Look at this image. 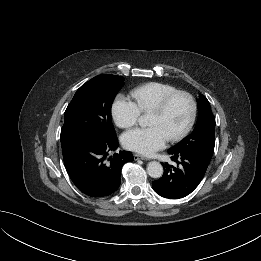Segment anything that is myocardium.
I'll return each instance as SVG.
<instances>
[{
  "label": "myocardium",
  "instance_id": "1",
  "mask_svg": "<svg viewBox=\"0 0 261 261\" xmlns=\"http://www.w3.org/2000/svg\"><path fill=\"white\" fill-rule=\"evenodd\" d=\"M179 97H184L188 100V102L190 104V114H189L188 121H187L186 125L184 126V128L180 132L170 136L169 137L170 141H178V140L184 138L189 133L191 128L193 127L195 119H196V114H197V103H196L195 98L193 97V95H191L188 92L177 91V92L171 94L170 96H168L166 99H164L161 104H159L156 108H154L151 111V113L162 115L168 111V109L170 108L172 103Z\"/></svg>",
  "mask_w": 261,
  "mask_h": 261
}]
</instances>
